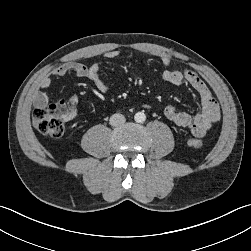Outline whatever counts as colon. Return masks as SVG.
Masks as SVG:
<instances>
[{
	"instance_id": "5ec220e1",
	"label": "colon",
	"mask_w": 251,
	"mask_h": 251,
	"mask_svg": "<svg viewBox=\"0 0 251 251\" xmlns=\"http://www.w3.org/2000/svg\"><path fill=\"white\" fill-rule=\"evenodd\" d=\"M75 113V107L64 100L38 106L33 113V125L41 134L60 137L64 133L65 124L74 117ZM190 144L195 148L202 147L200 140L193 139Z\"/></svg>"
}]
</instances>
